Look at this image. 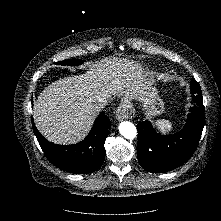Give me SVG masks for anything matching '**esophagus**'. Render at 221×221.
Listing matches in <instances>:
<instances>
[{"mask_svg": "<svg viewBox=\"0 0 221 221\" xmlns=\"http://www.w3.org/2000/svg\"><path fill=\"white\" fill-rule=\"evenodd\" d=\"M135 110L131 103L126 99H122L116 110V118L120 121L130 119L134 116Z\"/></svg>", "mask_w": 221, "mask_h": 221, "instance_id": "1", "label": "esophagus"}]
</instances>
